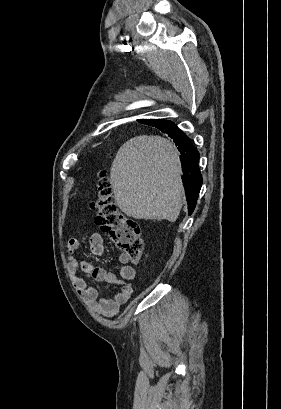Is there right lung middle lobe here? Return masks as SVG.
Returning a JSON list of instances; mask_svg holds the SVG:
<instances>
[{"label": "right lung middle lobe", "mask_w": 281, "mask_h": 409, "mask_svg": "<svg viewBox=\"0 0 281 409\" xmlns=\"http://www.w3.org/2000/svg\"><path fill=\"white\" fill-rule=\"evenodd\" d=\"M145 124L150 125V126H154L159 128L160 130H164L167 126L173 124L170 121H164V120H159V119H155V120H147L145 122Z\"/></svg>", "instance_id": "right-lung-middle-lobe-1"}]
</instances>
